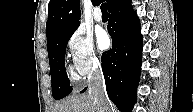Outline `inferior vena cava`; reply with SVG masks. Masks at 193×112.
I'll list each match as a JSON object with an SVG mask.
<instances>
[{"mask_svg":"<svg viewBox=\"0 0 193 112\" xmlns=\"http://www.w3.org/2000/svg\"><path fill=\"white\" fill-rule=\"evenodd\" d=\"M89 94L94 97L97 105L100 107V112H111L109 103L105 94V83L102 69L99 63L93 66L91 75L88 79Z\"/></svg>","mask_w":193,"mask_h":112,"instance_id":"obj_1","label":"inferior vena cava"}]
</instances>
